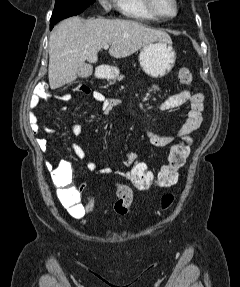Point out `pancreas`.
I'll return each instance as SVG.
<instances>
[{
	"label": "pancreas",
	"mask_w": 240,
	"mask_h": 287,
	"mask_svg": "<svg viewBox=\"0 0 240 287\" xmlns=\"http://www.w3.org/2000/svg\"><path fill=\"white\" fill-rule=\"evenodd\" d=\"M121 79H123V75H118L114 78V81H116V80L119 81Z\"/></svg>",
	"instance_id": "1"
}]
</instances>
